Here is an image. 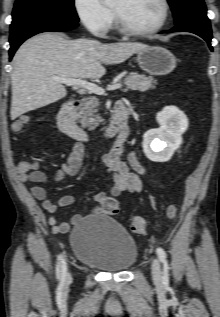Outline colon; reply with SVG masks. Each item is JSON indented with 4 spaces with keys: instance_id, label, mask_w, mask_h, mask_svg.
I'll use <instances>...</instances> for the list:
<instances>
[{
    "instance_id": "1",
    "label": "colon",
    "mask_w": 220,
    "mask_h": 317,
    "mask_svg": "<svg viewBox=\"0 0 220 317\" xmlns=\"http://www.w3.org/2000/svg\"><path fill=\"white\" fill-rule=\"evenodd\" d=\"M26 122H27V118L22 117L14 123V128L18 130V129L22 128ZM103 210H104V213L107 215H115L119 211V204L114 198L110 197V198L106 199V201L104 202ZM175 215H176L175 206L169 205L167 207V216L169 218H174ZM130 226H131L132 231L137 233V234H144L147 231L146 220L143 219L142 217H139V216H135L131 219Z\"/></svg>"
}]
</instances>
